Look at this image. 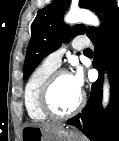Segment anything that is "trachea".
Here are the masks:
<instances>
[{
  "label": "trachea",
  "instance_id": "trachea-1",
  "mask_svg": "<svg viewBox=\"0 0 119 141\" xmlns=\"http://www.w3.org/2000/svg\"><path fill=\"white\" fill-rule=\"evenodd\" d=\"M84 52L91 53L92 50L90 48H87V49L84 50Z\"/></svg>",
  "mask_w": 119,
  "mask_h": 141
}]
</instances>
